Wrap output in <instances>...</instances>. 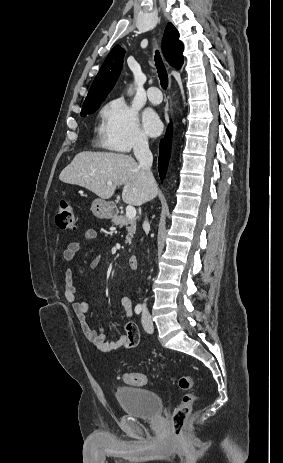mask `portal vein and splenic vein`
I'll return each mask as SVG.
<instances>
[{
	"mask_svg": "<svg viewBox=\"0 0 283 463\" xmlns=\"http://www.w3.org/2000/svg\"><path fill=\"white\" fill-rule=\"evenodd\" d=\"M107 185L111 186V185H112V182H107ZM126 216H127V218H129V219L135 218V216H136V209H135L134 206L128 205V206L126 207Z\"/></svg>",
	"mask_w": 283,
	"mask_h": 463,
	"instance_id": "portal-vein-and-splenic-vein-1",
	"label": "portal vein and splenic vein"
}]
</instances>
